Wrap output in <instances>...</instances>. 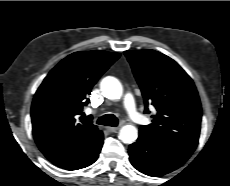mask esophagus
<instances>
[{
    "mask_svg": "<svg viewBox=\"0 0 230 186\" xmlns=\"http://www.w3.org/2000/svg\"><path fill=\"white\" fill-rule=\"evenodd\" d=\"M119 129H120V127H108V128H107V130H108L110 133H115V132H117Z\"/></svg>",
    "mask_w": 230,
    "mask_h": 186,
    "instance_id": "obj_1",
    "label": "esophagus"
}]
</instances>
